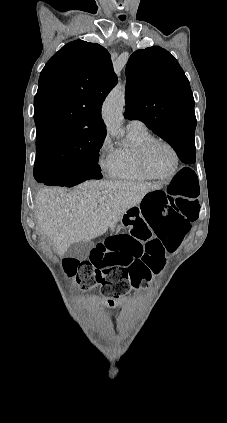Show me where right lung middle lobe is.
Returning <instances> with one entry per match:
<instances>
[{
    "label": "right lung middle lobe",
    "instance_id": "obj_1",
    "mask_svg": "<svg viewBox=\"0 0 227 423\" xmlns=\"http://www.w3.org/2000/svg\"><path fill=\"white\" fill-rule=\"evenodd\" d=\"M105 134L72 138L57 144L36 146V161H54L60 168L84 180L101 179L99 150Z\"/></svg>",
    "mask_w": 227,
    "mask_h": 423
}]
</instances>
